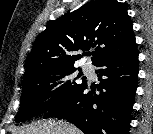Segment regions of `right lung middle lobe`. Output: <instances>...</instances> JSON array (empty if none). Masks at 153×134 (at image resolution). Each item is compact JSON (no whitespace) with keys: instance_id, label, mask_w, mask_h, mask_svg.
<instances>
[{"instance_id":"dd1d6c3e","label":"right lung middle lobe","mask_w":153,"mask_h":134,"mask_svg":"<svg viewBox=\"0 0 153 134\" xmlns=\"http://www.w3.org/2000/svg\"><path fill=\"white\" fill-rule=\"evenodd\" d=\"M79 69L74 66L47 70L23 80L20 109L16 122L44 114L66 102L87 85ZM82 80V82H80Z\"/></svg>"}]
</instances>
